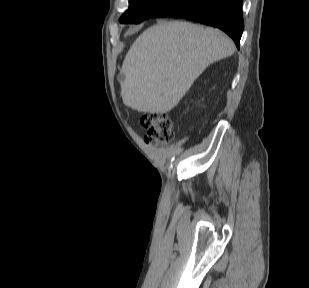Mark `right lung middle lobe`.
I'll return each mask as SVG.
<instances>
[{"label": "right lung middle lobe", "mask_w": 309, "mask_h": 288, "mask_svg": "<svg viewBox=\"0 0 309 288\" xmlns=\"http://www.w3.org/2000/svg\"><path fill=\"white\" fill-rule=\"evenodd\" d=\"M170 0H129V9L120 18V23H140Z\"/></svg>", "instance_id": "1"}]
</instances>
